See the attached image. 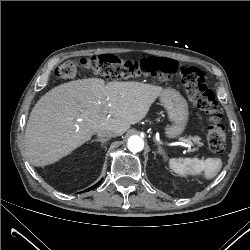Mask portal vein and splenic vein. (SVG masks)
Listing matches in <instances>:
<instances>
[{
  "instance_id": "18ae733b",
  "label": "portal vein and splenic vein",
  "mask_w": 250,
  "mask_h": 250,
  "mask_svg": "<svg viewBox=\"0 0 250 250\" xmlns=\"http://www.w3.org/2000/svg\"><path fill=\"white\" fill-rule=\"evenodd\" d=\"M179 140L183 141L184 143H186L187 147L191 148L193 146V143L191 142V140L187 139V138H179Z\"/></svg>"
}]
</instances>
